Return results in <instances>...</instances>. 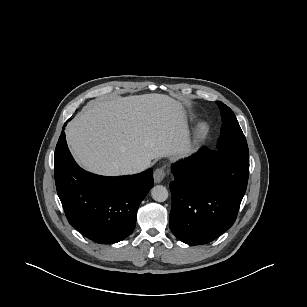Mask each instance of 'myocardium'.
Returning a JSON list of instances; mask_svg holds the SVG:
<instances>
[{"label": "myocardium", "mask_w": 307, "mask_h": 307, "mask_svg": "<svg viewBox=\"0 0 307 307\" xmlns=\"http://www.w3.org/2000/svg\"><path fill=\"white\" fill-rule=\"evenodd\" d=\"M209 126L205 123L199 125L195 131V141L196 142H201L202 140H204L208 133H209Z\"/></svg>", "instance_id": "1"}]
</instances>
